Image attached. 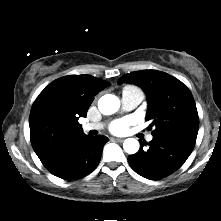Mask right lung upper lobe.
Here are the masks:
<instances>
[{
	"mask_svg": "<svg viewBox=\"0 0 221 221\" xmlns=\"http://www.w3.org/2000/svg\"><path fill=\"white\" fill-rule=\"evenodd\" d=\"M109 85L90 75H70L56 79L40 93L29 126L32 147L42 163L82 135L79 117L86 116L94 96Z\"/></svg>",
	"mask_w": 221,
	"mask_h": 221,
	"instance_id": "right-lung-upper-lobe-1",
	"label": "right lung upper lobe"
}]
</instances>
